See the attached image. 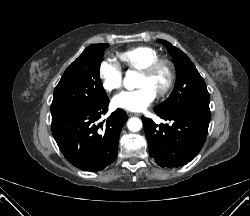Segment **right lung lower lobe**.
<instances>
[{
  "mask_svg": "<svg viewBox=\"0 0 250 216\" xmlns=\"http://www.w3.org/2000/svg\"><path fill=\"white\" fill-rule=\"evenodd\" d=\"M108 105L107 97L86 110L52 119V134L61 153L83 171H101L117 157L120 133L128 116L117 109L99 122Z\"/></svg>",
  "mask_w": 250,
  "mask_h": 216,
  "instance_id": "right-lung-lower-lobe-1",
  "label": "right lung lower lobe"
}]
</instances>
